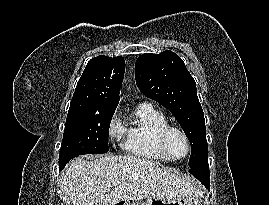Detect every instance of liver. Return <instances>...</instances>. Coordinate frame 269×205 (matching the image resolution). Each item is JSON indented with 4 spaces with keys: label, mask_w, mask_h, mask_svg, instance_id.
I'll return each mask as SVG.
<instances>
[{
    "label": "liver",
    "mask_w": 269,
    "mask_h": 205,
    "mask_svg": "<svg viewBox=\"0 0 269 205\" xmlns=\"http://www.w3.org/2000/svg\"><path fill=\"white\" fill-rule=\"evenodd\" d=\"M116 179L122 182L113 185ZM62 183L73 205L201 195V187L190 176H178L137 156L105 155L91 161L75 158L65 167Z\"/></svg>",
    "instance_id": "6515ba94"
}]
</instances>
